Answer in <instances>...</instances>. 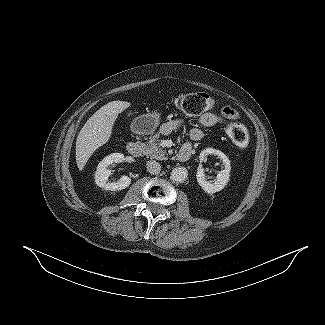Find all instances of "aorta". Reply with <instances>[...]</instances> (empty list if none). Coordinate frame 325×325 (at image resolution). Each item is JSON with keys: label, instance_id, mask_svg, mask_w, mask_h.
Here are the masks:
<instances>
[{"label": "aorta", "instance_id": "obj_1", "mask_svg": "<svg viewBox=\"0 0 325 325\" xmlns=\"http://www.w3.org/2000/svg\"><path fill=\"white\" fill-rule=\"evenodd\" d=\"M188 176L187 169L184 167H176L171 172V180L176 183H183Z\"/></svg>", "mask_w": 325, "mask_h": 325}]
</instances>
